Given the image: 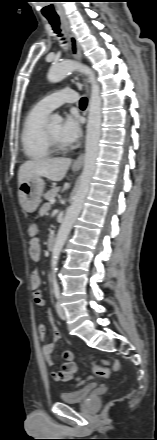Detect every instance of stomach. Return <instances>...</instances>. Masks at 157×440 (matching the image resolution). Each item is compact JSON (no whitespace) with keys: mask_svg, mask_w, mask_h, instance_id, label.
Here are the masks:
<instances>
[{"mask_svg":"<svg viewBox=\"0 0 157 440\" xmlns=\"http://www.w3.org/2000/svg\"><path fill=\"white\" fill-rule=\"evenodd\" d=\"M45 188V181L41 177H33L22 182L18 187V198L22 209L32 213L41 203V196Z\"/></svg>","mask_w":157,"mask_h":440,"instance_id":"0dacf381","label":"stomach"}]
</instances>
